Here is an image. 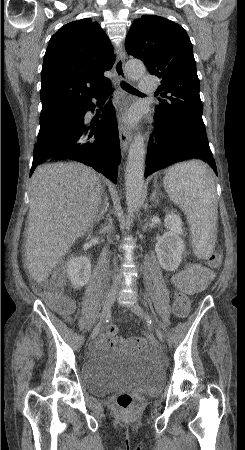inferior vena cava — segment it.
Returning a JSON list of instances; mask_svg holds the SVG:
<instances>
[{
    "mask_svg": "<svg viewBox=\"0 0 245 450\" xmlns=\"http://www.w3.org/2000/svg\"><path fill=\"white\" fill-rule=\"evenodd\" d=\"M120 281H121L120 276L115 274V275H114V278H113V282H114L115 284H117V283H120Z\"/></svg>",
    "mask_w": 245,
    "mask_h": 450,
    "instance_id": "602c4592",
    "label": "inferior vena cava"
}]
</instances>
